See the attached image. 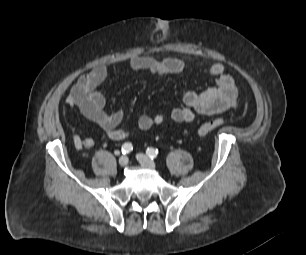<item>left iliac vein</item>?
Returning <instances> with one entry per match:
<instances>
[{"label": "left iliac vein", "instance_id": "4c4485c4", "mask_svg": "<svg viewBox=\"0 0 306 255\" xmlns=\"http://www.w3.org/2000/svg\"><path fill=\"white\" fill-rule=\"evenodd\" d=\"M137 160L140 162L141 165L149 168V169H155L156 164L153 160H151L149 157H147L145 154L139 153L137 154Z\"/></svg>", "mask_w": 306, "mask_h": 255}]
</instances>
